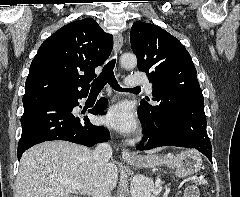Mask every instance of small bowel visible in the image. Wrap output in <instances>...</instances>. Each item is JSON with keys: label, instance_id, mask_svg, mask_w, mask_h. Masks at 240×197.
<instances>
[{"label": "small bowel", "instance_id": "obj_1", "mask_svg": "<svg viewBox=\"0 0 240 197\" xmlns=\"http://www.w3.org/2000/svg\"><path fill=\"white\" fill-rule=\"evenodd\" d=\"M185 197H199L197 187L194 185L188 186L185 192Z\"/></svg>", "mask_w": 240, "mask_h": 197}]
</instances>
